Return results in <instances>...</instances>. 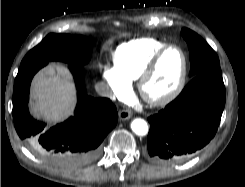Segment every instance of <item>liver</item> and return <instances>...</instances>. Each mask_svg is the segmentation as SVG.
<instances>
[{"label":"liver","instance_id":"obj_1","mask_svg":"<svg viewBox=\"0 0 245 187\" xmlns=\"http://www.w3.org/2000/svg\"><path fill=\"white\" fill-rule=\"evenodd\" d=\"M33 113L54 123L68 117L75 105L73 83L65 72L50 66L39 72L33 80Z\"/></svg>","mask_w":245,"mask_h":187}]
</instances>
